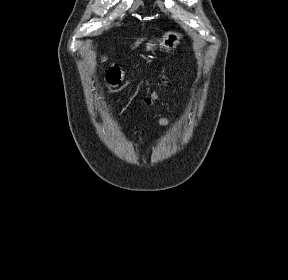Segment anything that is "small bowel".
I'll return each mask as SVG.
<instances>
[{"label": "small bowel", "instance_id": "small-bowel-1", "mask_svg": "<svg viewBox=\"0 0 288 280\" xmlns=\"http://www.w3.org/2000/svg\"><path fill=\"white\" fill-rule=\"evenodd\" d=\"M170 123H171L170 120H168L166 118H161L158 121V124L161 126H168V125H170Z\"/></svg>", "mask_w": 288, "mask_h": 280}]
</instances>
